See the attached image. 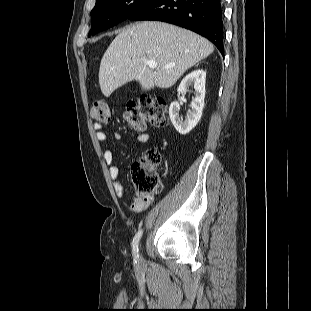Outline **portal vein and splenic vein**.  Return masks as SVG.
Segmentation results:
<instances>
[{
  "instance_id": "1",
  "label": "portal vein and splenic vein",
  "mask_w": 311,
  "mask_h": 311,
  "mask_svg": "<svg viewBox=\"0 0 311 311\" xmlns=\"http://www.w3.org/2000/svg\"><path fill=\"white\" fill-rule=\"evenodd\" d=\"M144 63L148 65L151 69L157 68V63L155 61H149V60L144 59ZM173 66L174 65L171 64V65L165 66V68L168 69V68H172Z\"/></svg>"
}]
</instances>
